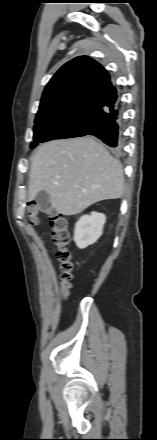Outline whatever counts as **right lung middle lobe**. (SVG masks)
Segmentation results:
<instances>
[{
	"mask_svg": "<svg viewBox=\"0 0 157 440\" xmlns=\"http://www.w3.org/2000/svg\"><path fill=\"white\" fill-rule=\"evenodd\" d=\"M91 135L89 128L83 121L77 120H46L35 122L34 140L31 147L37 143L50 141L53 139H63Z\"/></svg>",
	"mask_w": 157,
	"mask_h": 440,
	"instance_id": "dd1d6c3e",
	"label": "right lung middle lobe"
}]
</instances>
